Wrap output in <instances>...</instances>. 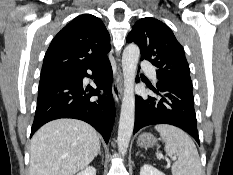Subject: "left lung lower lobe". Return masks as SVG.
Returning <instances> with one entry per match:
<instances>
[{"label": "left lung lower lobe", "mask_w": 233, "mask_h": 175, "mask_svg": "<svg viewBox=\"0 0 233 175\" xmlns=\"http://www.w3.org/2000/svg\"><path fill=\"white\" fill-rule=\"evenodd\" d=\"M156 86L149 88L158 98L136 96L133 134L148 125L170 124L189 133L199 144L192 85L158 79Z\"/></svg>", "instance_id": "left-lung-lower-lobe-1"}]
</instances>
